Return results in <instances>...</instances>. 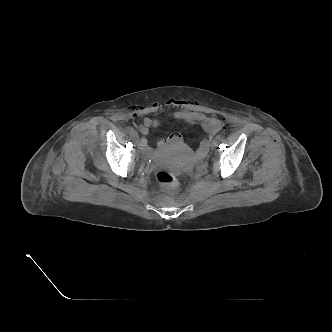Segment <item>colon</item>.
<instances>
[{"instance_id": "5ec220e1", "label": "colon", "mask_w": 332, "mask_h": 332, "mask_svg": "<svg viewBox=\"0 0 332 332\" xmlns=\"http://www.w3.org/2000/svg\"><path fill=\"white\" fill-rule=\"evenodd\" d=\"M157 181L168 191H174L178 188L179 180L171 172L168 171H159L156 175Z\"/></svg>"}]
</instances>
